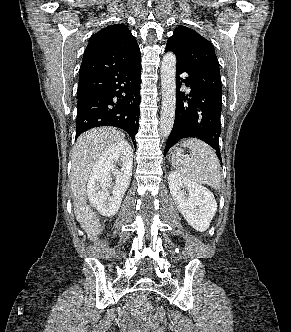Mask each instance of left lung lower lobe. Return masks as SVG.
I'll use <instances>...</instances> for the list:
<instances>
[{
  "mask_svg": "<svg viewBox=\"0 0 291 332\" xmlns=\"http://www.w3.org/2000/svg\"><path fill=\"white\" fill-rule=\"evenodd\" d=\"M165 52H168L165 50ZM188 77L182 79L180 74ZM176 83L180 88L185 82L189 94L176 92L175 121L167 140L164 155L180 139L197 137L216 152L221 161L219 136L221 133L222 86L220 72L213 68L189 69L177 62Z\"/></svg>",
  "mask_w": 291,
  "mask_h": 332,
  "instance_id": "1",
  "label": "left lung lower lobe"
}]
</instances>
